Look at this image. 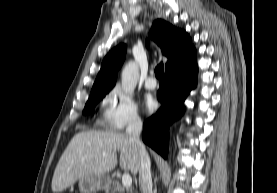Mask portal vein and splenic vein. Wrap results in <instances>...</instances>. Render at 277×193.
Returning a JSON list of instances; mask_svg holds the SVG:
<instances>
[{
  "mask_svg": "<svg viewBox=\"0 0 277 193\" xmlns=\"http://www.w3.org/2000/svg\"><path fill=\"white\" fill-rule=\"evenodd\" d=\"M103 156L105 157L106 154L103 153ZM122 184L123 186H125L126 188L130 187L132 185V177L130 176L129 173H124L122 176Z\"/></svg>",
  "mask_w": 277,
  "mask_h": 193,
  "instance_id": "obj_1",
  "label": "portal vein and splenic vein"
}]
</instances>
